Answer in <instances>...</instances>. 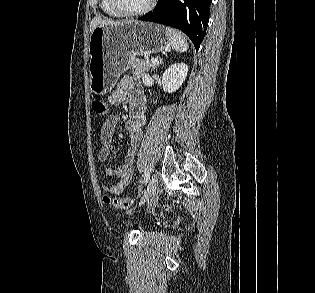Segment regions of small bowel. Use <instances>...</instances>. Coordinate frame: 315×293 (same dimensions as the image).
Segmentation results:
<instances>
[{"instance_id":"1","label":"small bowel","mask_w":315,"mask_h":293,"mask_svg":"<svg viewBox=\"0 0 315 293\" xmlns=\"http://www.w3.org/2000/svg\"><path fill=\"white\" fill-rule=\"evenodd\" d=\"M129 100V118L125 123V129L129 135L128 150L124 162L117 169H107L106 173L116 176L118 182L111 185H103L102 190L110 194H120L130 184L133 177V163L138 146L142 139L143 127L146 122L145 99L142 88L135 84L130 77H124L108 97L110 104L117 106ZM119 116L110 114L104 121L100 131V149L97 159L100 162L107 160L113 141V134L118 124Z\"/></svg>"}]
</instances>
